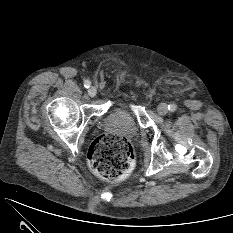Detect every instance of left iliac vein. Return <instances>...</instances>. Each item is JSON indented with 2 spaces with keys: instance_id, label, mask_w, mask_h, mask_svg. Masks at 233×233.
<instances>
[{
  "instance_id": "1",
  "label": "left iliac vein",
  "mask_w": 233,
  "mask_h": 233,
  "mask_svg": "<svg viewBox=\"0 0 233 233\" xmlns=\"http://www.w3.org/2000/svg\"><path fill=\"white\" fill-rule=\"evenodd\" d=\"M157 112L159 115L164 116L168 113V106L165 103H161L157 107Z\"/></svg>"
}]
</instances>
